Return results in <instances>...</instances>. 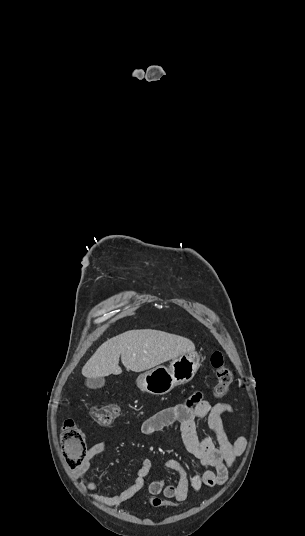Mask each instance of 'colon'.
Wrapping results in <instances>:
<instances>
[{
	"instance_id": "5ec220e1",
	"label": "colon",
	"mask_w": 305,
	"mask_h": 536,
	"mask_svg": "<svg viewBox=\"0 0 305 536\" xmlns=\"http://www.w3.org/2000/svg\"><path fill=\"white\" fill-rule=\"evenodd\" d=\"M210 362L215 370V392L218 397H223L231 383L232 372L227 365L225 355L220 350H214L210 355ZM90 416L92 419L101 424H110L118 416V408L115 405H107L104 403L93 404L90 407ZM61 441L64 444L63 460L66 471H79L81 463L85 460L84 450L86 441L81 429L72 419L65 420L63 423V432ZM149 505L153 509H161L163 506H174L178 508L180 503L175 501L173 497L168 496L163 500L161 497L153 495L148 500Z\"/></svg>"
}]
</instances>
